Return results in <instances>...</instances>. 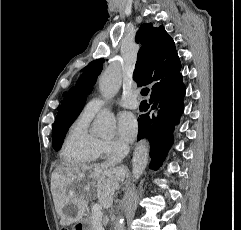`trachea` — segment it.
<instances>
[{"label": "trachea", "mask_w": 241, "mask_h": 230, "mask_svg": "<svg viewBox=\"0 0 241 230\" xmlns=\"http://www.w3.org/2000/svg\"><path fill=\"white\" fill-rule=\"evenodd\" d=\"M148 93H149V89H148V88H144V89H142V91H141V95H143V96H147Z\"/></svg>", "instance_id": "obj_1"}]
</instances>
